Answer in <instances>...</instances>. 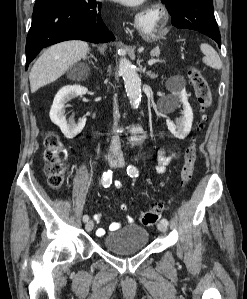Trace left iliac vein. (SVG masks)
<instances>
[{
  "label": "left iliac vein",
  "instance_id": "obj_1",
  "mask_svg": "<svg viewBox=\"0 0 247 299\" xmlns=\"http://www.w3.org/2000/svg\"><path fill=\"white\" fill-rule=\"evenodd\" d=\"M116 166H117V167H123V166H124V160H123L122 157H120V158L118 159V161H117V163H116ZM157 228H158V230H159L160 232H163V233L167 231V225L164 224L163 222H159V223L157 224Z\"/></svg>",
  "mask_w": 247,
  "mask_h": 299
}]
</instances>
